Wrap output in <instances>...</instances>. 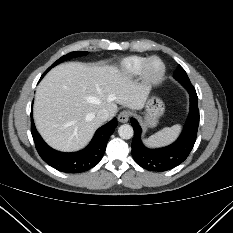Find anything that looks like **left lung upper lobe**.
Returning a JSON list of instances; mask_svg holds the SVG:
<instances>
[{
    "label": "left lung upper lobe",
    "mask_w": 233,
    "mask_h": 233,
    "mask_svg": "<svg viewBox=\"0 0 233 233\" xmlns=\"http://www.w3.org/2000/svg\"><path fill=\"white\" fill-rule=\"evenodd\" d=\"M173 77L177 81H179L184 87H188L192 85L185 70L180 65H178V68L174 72Z\"/></svg>",
    "instance_id": "left-lung-upper-lobe-1"
}]
</instances>
